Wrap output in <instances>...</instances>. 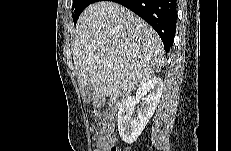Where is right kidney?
<instances>
[{"label": "right kidney", "instance_id": "1", "mask_svg": "<svg viewBox=\"0 0 231 151\" xmlns=\"http://www.w3.org/2000/svg\"><path fill=\"white\" fill-rule=\"evenodd\" d=\"M163 82L160 77H151L126 98L118 111V130L122 140L131 144L137 140L150 118L153 116L162 95ZM143 100L137 117H132L135 105Z\"/></svg>", "mask_w": 231, "mask_h": 151}]
</instances>
